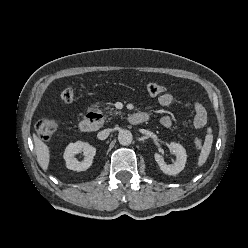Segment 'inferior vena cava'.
I'll return each mask as SVG.
<instances>
[{"instance_id":"inferior-vena-cava-1","label":"inferior vena cava","mask_w":248,"mask_h":248,"mask_svg":"<svg viewBox=\"0 0 248 248\" xmlns=\"http://www.w3.org/2000/svg\"><path fill=\"white\" fill-rule=\"evenodd\" d=\"M111 133V129H104L97 134L98 139L105 140Z\"/></svg>"}]
</instances>
